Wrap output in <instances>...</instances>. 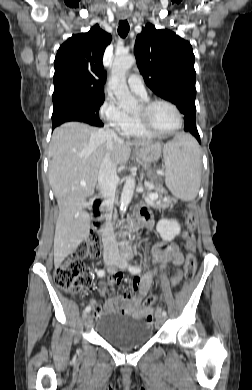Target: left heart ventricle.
I'll use <instances>...</instances> for the list:
<instances>
[{"label": "left heart ventricle", "instance_id": "b2bd125f", "mask_svg": "<svg viewBox=\"0 0 252 390\" xmlns=\"http://www.w3.org/2000/svg\"><path fill=\"white\" fill-rule=\"evenodd\" d=\"M144 110L141 107L137 116L143 115ZM148 119L153 128L159 131H168L173 129L178 122L177 115L174 110L166 104H157L148 114Z\"/></svg>", "mask_w": 252, "mask_h": 390}]
</instances>
